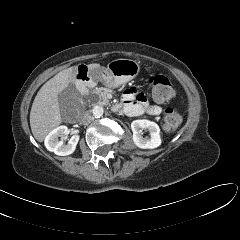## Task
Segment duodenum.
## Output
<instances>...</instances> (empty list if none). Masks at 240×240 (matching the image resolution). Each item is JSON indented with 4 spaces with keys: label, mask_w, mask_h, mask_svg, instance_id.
<instances>
[{
    "label": "duodenum",
    "mask_w": 240,
    "mask_h": 240,
    "mask_svg": "<svg viewBox=\"0 0 240 240\" xmlns=\"http://www.w3.org/2000/svg\"><path fill=\"white\" fill-rule=\"evenodd\" d=\"M90 84L91 78L88 76V74L83 73L79 76V88L83 94H86L88 92ZM114 109L117 110V107H114Z\"/></svg>",
    "instance_id": "410a0bca"
}]
</instances>
